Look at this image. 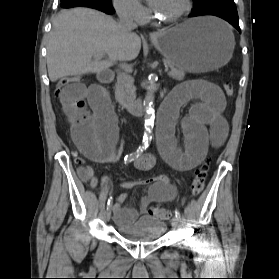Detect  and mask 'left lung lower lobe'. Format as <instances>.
<instances>
[{"label":"left lung lower lobe","instance_id":"left-lung-lower-lobe-1","mask_svg":"<svg viewBox=\"0 0 279 279\" xmlns=\"http://www.w3.org/2000/svg\"><path fill=\"white\" fill-rule=\"evenodd\" d=\"M201 15H214L223 18L241 32L237 9L233 0H201L198 4H195V10L189 17Z\"/></svg>","mask_w":279,"mask_h":279}]
</instances>
